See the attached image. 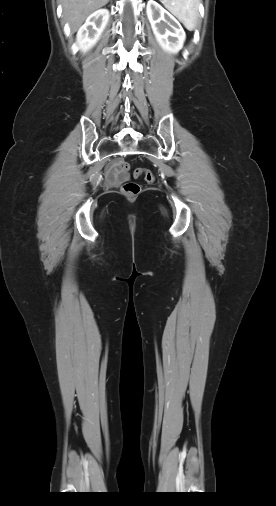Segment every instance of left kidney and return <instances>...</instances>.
Wrapping results in <instances>:
<instances>
[{
  "label": "left kidney",
  "instance_id": "5707ae66",
  "mask_svg": "<svg viewBox=\"0 0 276 506\" xmlns=\"http://www.w3.org/2000/svg\"><path fill=\"white\" fill-rule=\"evenodd\" d=\"M146 11L153 33L162 49L172 54L178 53L186 38L179 22L154 0L148 1Z\"/></svg>",
  "mask_w": 276,
  "mask_h": 506
}]
</instances>
